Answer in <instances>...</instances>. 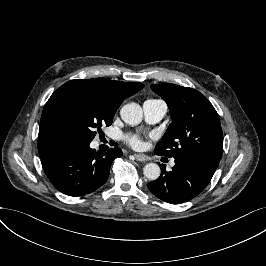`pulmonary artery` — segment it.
<instances>
[{
	"label": "pulmonary artery",
	"mask_w": 266,
	"mask_h": 266,
	"mask_svg": "<svg viewBox=\"0 0 266 266\" xmlns=\"http://www.w3.org/2000/svg\"><path fill=\"white\" fill-rule=\"evenodd\" d=\"M143 111L148 123L159 122L167 112V104L162 99L150 98L144 101ZM174 165V162H171Z\"/></svg>",
	"instance_id": "1"
}]
</instances>
